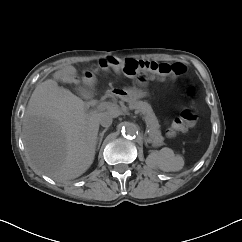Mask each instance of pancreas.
Returning <instances> with one entry per match:
<instances>
[{
  "label": "pancreas",
  "instance_id": "cf45deb5",
  "mask_svg": "<svg viewBox=\"0 0 242 242\" xmlns=\"http://www.w3.org/2000/svg\"><path fill=\"white\" fill-rule=\"evenodd\" d=\"M129 108L135 109L138 113L143 115L147 127L149 128V136L152 139V142L160 143L163 139L161 131L159 130L160 125L150 104L145 101H132L129 102Z\"/></svg>",
  "mask_w": 242,
  "mask_h": 242
}]
</instances>
